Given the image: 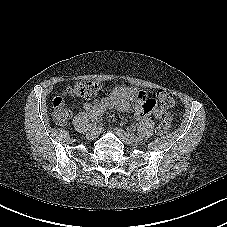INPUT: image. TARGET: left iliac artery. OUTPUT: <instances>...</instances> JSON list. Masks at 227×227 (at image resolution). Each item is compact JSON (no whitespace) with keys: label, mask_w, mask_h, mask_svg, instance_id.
I'll return each instance as SVG.
<instances>
[{"label":"left iliac artery","mask_w":227,"mask_h":227,"mask_svg":"<svg viewBox=\"0 0 227 227\" xmlns=\"http://www.w3.org/2000/svg\"><path fill=\"white\" fill-rule=\"evenodd\" d=\"M137 139H138L139 141H144V136L138 135V136H137Z\"/></svg>","instance_id":"obj_1"}]
</instances>
